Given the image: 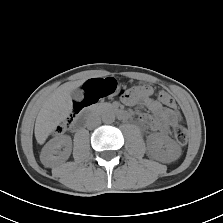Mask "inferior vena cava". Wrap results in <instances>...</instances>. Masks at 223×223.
Returning <instances> with one entry per match:
<instances>
[{
  "instance_id": "inferior-vena-cava-1",
  "label": "inferior vena cava",
  "mask_w": 223,
  "mask_h": 223,
  "mask_svg": "<svg viewBox=\"0 0 223 223\" xmlns=\"http://www.w3.org/2000/svg\"><path fill=\"white\" fill-rule=\"evenodd\" d=\"M101 123V119L99 117H92L89 119L87 126L88 128H93L98 126Z\"/></svg>"
}]
</instances>
